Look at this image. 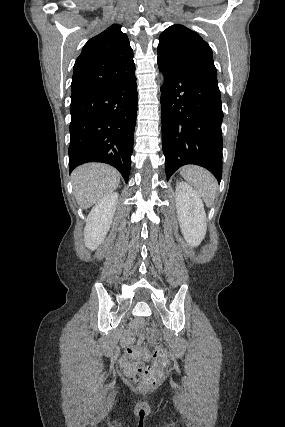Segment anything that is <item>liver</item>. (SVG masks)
<instances>
[{
  "mask_svg": "<svg viewBox=\"0 0 285 427\" xmlns=\"http://www.w3.org/2000/svg\"><path fill=\"white\" fill-rule=\"evenodd\" d=\"M71 179L77 203L87 209L117 189L120 174L109 165L88 163L77 167Z\"/></svg>",
  "mask_w": 285,
  "mask_h": 427,
  "instance_id": "obj_1",
  "label": "liver"
}]
</instances>
